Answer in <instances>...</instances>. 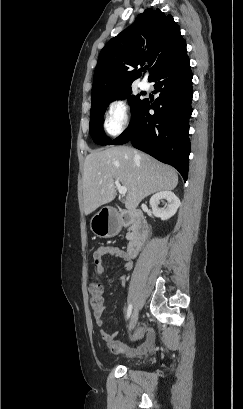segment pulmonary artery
<instances>
[{"instance_id": "e3ab8cb5", "label": "pulmonary artery", "mask_w": 243, "mask_h": 409, "mask_svg": "<svg viewBox=\"0 0 243 409\" xmlns=\"http://www.w3.org/2000/svg\"><path fill=\"white\" fill-rule=\"evenodd\" d=\"M139 88L142 89V90H147L149 88L148 82L144 81V80L140 81L139 82Z\"/></svg>"}]
</instances>
